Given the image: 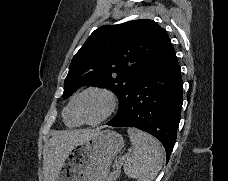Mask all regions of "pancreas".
Wrapping results in <instances>:
<instances>
[{
    "mask_svg": "<svg viewBox=\"0 0 228 181\" xmlns=\"http://www.w3.org/2000/svg\"><path fill=\"white\" fill-rule=\"evenodd\" d=\"M121 171H113V173H110L107 181H116L117 177H120Z\"/></svg>",
    "mask_w": 228,
    "mask_h": 181,
    "instance_id": "obj_1",
    "label": "pancreas"
}]
</instances>
